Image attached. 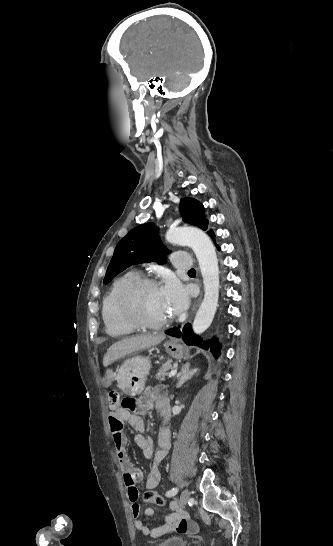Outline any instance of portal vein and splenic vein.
Wrapping results in <instances>:
<instances>
[{
	"instance_id": "1",
	"label": "portal vein and splenic vein",
	"mask_w": 333,
	"mask_h": 546,
	"mask_svg": "<svg viewBox=\"0 0 333 546\" xmlns=\"http://www.w3.org/2000/svg\"><path fill=\"white\" fill-rule=\"evenodd\" d=\"M176 373H177V369L171 370L170 373H169V377L171 378V377L175 376Z\"/></svg>"
}]
</instances>
